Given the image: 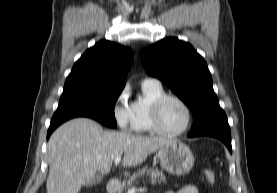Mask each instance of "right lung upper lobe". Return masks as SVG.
<instances>
[{
	"instance_id": "obj_1",
	"label": "right lung upper lobe",
	"mask_w": 277,
	"mask_h": 193,
	"mask_svg": "<svg viewBox=\"0 0 277 193\" xmlns=\"http://www.w3.org/2000/svg\"><path fill=\"white\" fill-rule=\"evenodd\" d=\"M132 62L133 53L129 48L102 40L74 64L64 89L86 87L122 91Z\"/></svg>"
}]
</instances>
